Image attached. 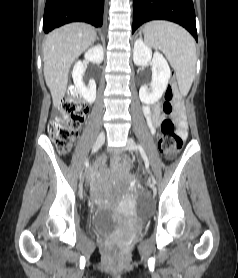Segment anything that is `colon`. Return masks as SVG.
<instances>
[{
  "label": "colon",
  "mask_w": 238,
  "mask_h": 278,
  "mask_svg": "<svg viewBox=\"0 0 238 278\" xmlns=\"http://www.w3.org/2000/svg\"><path fill=\"white\" fill-rule=\"evenodd\" d=\"M174 98L173 86L168 84L162 104L165 117L161 123V137L159 139V149L166 158L177 154L182 146V139L176 132L175 124L171 119L174 110ZM60 112L65 119L52 121L48 127V134L58 151L66 154L78 135L80 125L88 112V107L78 92L75 89H71L61 102ZM111 164L114 168L124 171H129L132 168V162L128 158L114 157L111 160Z\"/></svg>",
  "instance_id": "colon-1"
}]
</instances>
